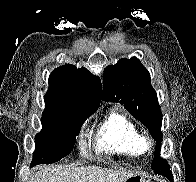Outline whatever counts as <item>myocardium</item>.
Wrapping results in <instances>:
<instances>
[{
	"label": "myocardium",
	"instance_id": "obj_1",
	"mask_svg": "<svg viewBox=\"0 0 196 182\" xmlns=\"http://www.w3.org/2000/svg\"><path fill=\"white\" fill-rule=\"evenodd\" d=\"M141 144L144 150H148L152 147L153 143L149 137H141Z\"/></svg>",
	"mask_w": 196,
	"mask_h": 182
}]
</instances>
